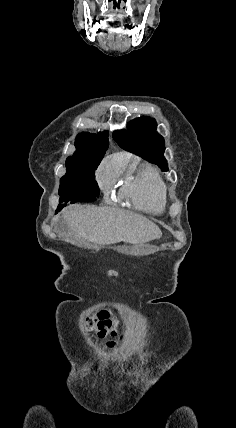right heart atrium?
Wrapping results in <instances>:
<instances>
[{"label": "right heart atrium", "mask_w": 236, "mask_h": 428, "mask_svg": "<svg viewBox=\"0 0 236 428\" xmlns=\"http://www.w3.org/2000/svg\"><path fill=\"white\" fill-rule=\"evenodd\" d=\"M97 180L103 194L108 196L114 187L115 179L107 166H102L99 169Z\"/></svg>", "instance_id": "right-heart-atrium-1"}]
</instances>
